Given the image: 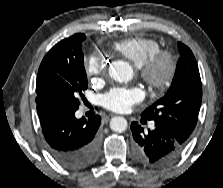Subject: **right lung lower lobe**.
Returning a JSON list of instances; mask_svg holds the SVG:
<instances>
[{
	"instance_id": "right-lung-lower-lobe-1",
	"label": "right lung lower lobe",
	"mask_w": 223,
	"mask_h": 188,
	"mask_svg": "<svg viewBox=\"0 0 223 188\" xmlns=\"http://www.w3.org/2000/svg\"><path fill=\"white\" fill-rule=\"evenodd\" d=\"M75 107L37 106L47 148L54 159L72 170L93 164L100 153L101 117H75Z\"/></svg>"
}]
</instances>
